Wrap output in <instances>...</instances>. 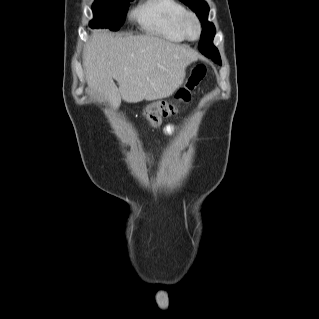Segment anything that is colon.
Masks as SVG:
<instances>
[{"label":"colon","instance_id":"5ec220e1","mask_svg":"<svg viewBox=\"0 0 319 319\" xmlns=\"http://www.w3.org/2000/svg\"><path fill=\"white\" fill-rule=\"evenodd\" d=\"M206 68L204 64H197L191 70L185 82L177 89L175 99L168 103H153L144 109L148 122L157 126L163 118L174 116L178 113L179 104L189 100L192 91L204 78Z\"/></svg>","mask_w":319,"mask_h":319}]
</instances>
